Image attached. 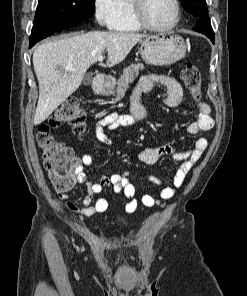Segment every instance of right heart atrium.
Instances as JSON below:
<instances>
[{
  "label": "right heart atrium",
  "mask_w": 247,
  "mask_h": 296,
  "mask_svg": "<svg viewBox=\"0 0 247 296\" xmlns=\"http://www.w3.org/2000/svg\"><path fill=\"white\" fill-rule=\"evenodd\" d=\"M93 15L104 28H112L118 18L117 0H93Z\"/></svg>",
  "instance_id": "1"
}]
</instances>
